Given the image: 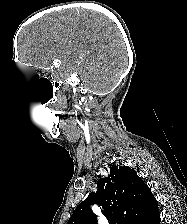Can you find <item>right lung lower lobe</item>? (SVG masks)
Returning <instances> with one entry per match:
<instances>
[{"label": "right lung lower lobe", "mask_w": 187, "mask_h": 224, "mask_svg": "<svg viewBox=\"0 0 187 224\" xmlns=\"http://www.w3.org/2000/svg\"><path fill=\"white\" fill-rule=\"evenodd\" d=\"M135 224H160V214L158 209L152 214L137 221Z\"/></svg>", "instance_id": "98d812e1"}]
</instances>
